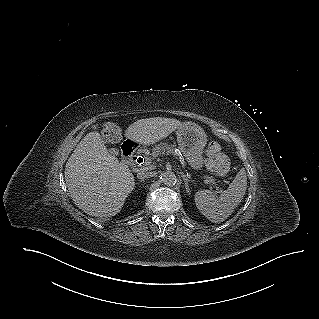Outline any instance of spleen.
Masks as SVG:
<instances>
[{"instance_id": "3e777b00", "label": "spleen", "mask_w": 319, "mask_h": 319, "mask_svg": "<svg viewBox=\"0 0 319 319\" xmlns=\"http://www.w3.org/2000/svg\"><path fill=\"white\" fill-rule=\"evenodd\" d=\"M247 189L246 171L242 168L235 176L228 189L219 197L212 191L203 189L195 194V204L198 210L211 222L221 223L226 220L241 203Z\"/></svg>"}]
</instances>
